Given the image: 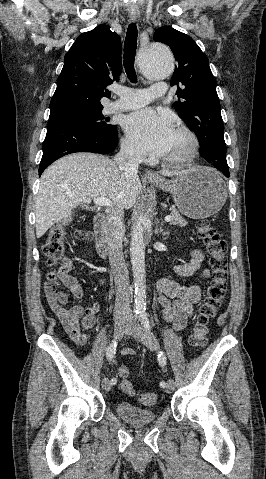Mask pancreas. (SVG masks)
<instances>
[{"label":"pancreas","mask_w":266,"mask_h":479,"mask_svg":"<svg viewBox=\"0 0 266 479\" xmlns=\"http://www.w3.org/2000/svg\"><path fill=\"white\" fill-rule=\"evenodd\" d=\"M170 216L172 217L171 219L172 225H178V226L184 227L188 224V222L175 209L171 211Z\"/></svg>","instance_id":"cf45deb5"}]
</instances>
